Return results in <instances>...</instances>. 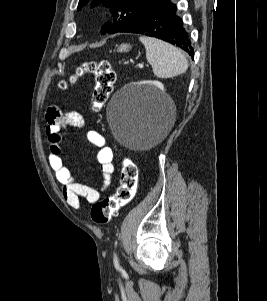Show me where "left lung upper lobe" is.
Listing matches in <instances>:
<instances>
[{"mask_svg": "<svg viewBox=\"0 0 267 301\" xmlns=\"http://www.w3.org/2000/svg\"><path fill=\"white\" fill-rule=\"evenodd\" d=\"M160 0H79L78 10L91 2L90 7L103 5L110 8L113 20L102 27V33H117L123 26L136 20Z\"/></svg>", "mask_w": 267, "mask_h": 301, "instance_id": "left-lung-upper-lobe-1", "label": "left lung upper lobe"}]
</instances>
